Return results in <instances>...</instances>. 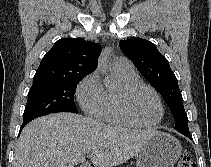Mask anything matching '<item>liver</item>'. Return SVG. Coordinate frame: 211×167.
Masks as SVG:
<instances>
[{"mask_svg": "<svg viewBox=\"0 0 211 167\" xmlns=\"http://www.w3.org/2000/svg\"><path fill=\"white\" fill-rule=\"evenodd\" d=\"M154 132L112 127L72 113L50 114L24 127L13 167H74L88 153L98 167L118 166L137 155Z\"/></svg>", "mask_w": 211, "mask_h": 167, "instance_id": "liver-1", "label": "liver"}]
</instances>
